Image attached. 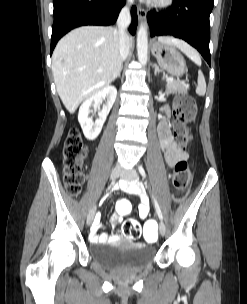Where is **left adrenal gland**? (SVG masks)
I'll list each match as a JSON object with an SVG mask.
<instances>
[{
	"label": "left adrenal gland",
	"instance_id": "obj_1",
	"mask_svg": "<svg viewBox=\"0 0 247 304\" xmlns=\"http://www.w3.org/2000/svg\"><path fill=\"white\" fill-rule=\"evenodd\" d=\"M154 69H155V70H154V71H155V74H156L157 72H158V73L161 72V69L159 68V66L157 65V63L154 64Z\"/></svg>",
	"mask_w": 247,
	"mask_h": 304
}]
</instances>
